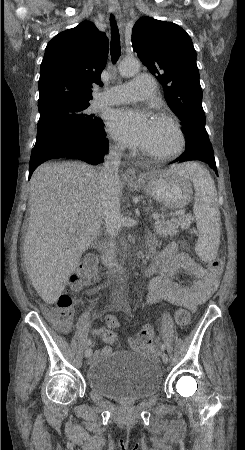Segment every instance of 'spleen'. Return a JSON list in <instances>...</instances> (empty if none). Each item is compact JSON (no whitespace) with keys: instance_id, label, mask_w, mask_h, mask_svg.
Listing matches in <instances>:
<instances>
[{"instance_id":"3e777b00","label":"spleen","mask_w":245,"mask_h":450,"mask_svg":"<svg viewBox=\"0 0 245 450\" xmlns=\"http://www.w3.org/2000/svg\"><path fill=\"white\" fill-rule=\"evenodd\" d=\"M179 168L195 189L193 211L199 232L195 251L203 261L209 262L216 258L220 243L221 219L215 184L209 171L198 163H185Z\"/></svg>"}]
</instances>
